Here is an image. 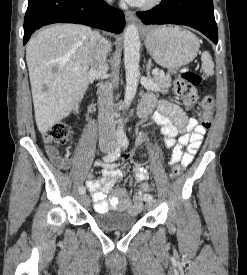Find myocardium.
Returning <instances> with one entry per match:
<instances>
[{
    "mask_svg": "<svg viewBox=\"0 0 247 275\" xmlns=\"http://www.w3.org/2000/svg\"><path fill=\"white\" fill-rule=\"evenodd\" d=\"M162 0H144L141 3L137 4V7L142 9H151L157 6Z\"/></svg>",
    "mask_w": 247,
    "mask_h": 275,
    "instance_id": "myocardium-1",
    "label": "myocardium"
}]
</instances>
